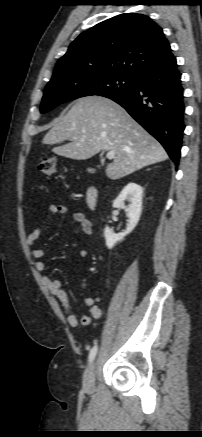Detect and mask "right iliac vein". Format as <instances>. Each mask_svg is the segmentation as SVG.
I'll use <instances>...</instances> for the list:
<instances>
[{
	"label": "right iliac vein",
	"mask_w": 202,
	"mask_h": 437,
	"mask_svg": "<svg viewBox=\"0 0 202 437\" xmlns=\"http://www.w3.org/2000/svg\"><path fill=\"white\" fill-rule=\"evenodd\" d=\"M83 387L87 392H92L95 387V363L89 365L83 377Z\"/></svg>",
	"instance_id": "obj_1"
}]
</instances>
